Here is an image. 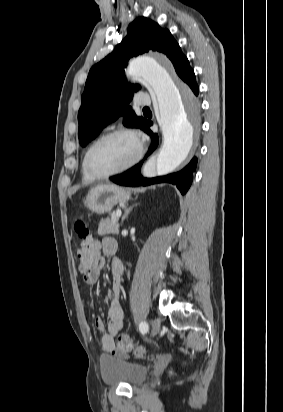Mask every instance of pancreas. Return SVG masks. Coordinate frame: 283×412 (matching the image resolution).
<instances>
[{"mask_svg":"<svg viewBox=\"0 0 283 412\" xmlns=\"http://www.w3.org/2000/svg\"><path fill=\"white\" fill-rule=\"evenodd\" d=\"M119 233V225H118V217L116 213H112L110 218L102 219L99 223L98 227V234L99 235H106V234H118Z\"/></svg>","mask_w":283,"mask_h":412,"instance_id":"pancreas-1","label":"pancreas"}]
</instances>
